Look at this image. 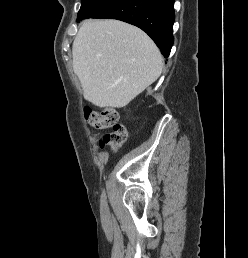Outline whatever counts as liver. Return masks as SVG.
<instances>
[{
    "mask_svg": "<svg viewBox=\"0 0 248 258\" xmlns=\"http://www.w3.org/2000/svg\"><path fill=\"white\" fill-rule=\"evenodd\" d=\"M72 54L85 98L101 108L126 106L163 68L162 55L148 35L118 20L84 21Z\"/></svg>",
    "mask_w": 248,
    "mask_h": 258,
    "instance_id": "obj_1",
    "label": "liver"
}]
</instances>
